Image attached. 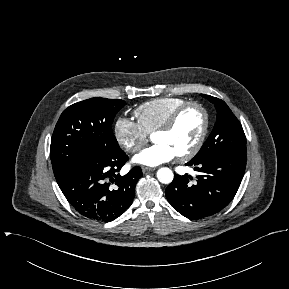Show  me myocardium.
Segmentation results:
<instances>
[{"mask_svg": "<svg viewBox=\"0 0 289 289\" xmlns=\"http://www.w3.org/2000/svg\"><path fill=\"white\" fill-rule=\"evenodd\" d=\"M197 108L203 116V125H202V129L200 131V134L197 138V140L195 141V143L193 144V146L188 149L186 152L177 155L178 159L181 161H186L191 159L192 157H194L199 150L201 149V147L204 144V141L206 139V136L208 134V130H209V124H210V118H209V114L207 109L199 102L197 101H187L184 104H182L181 106H179L169 117L168 119L160 126L158 127L154 134L156 133H166L171 131L177 121L179 120V118L181 117V115L189 108Z\"/></svg>", "mask_w": 289, "mask_h": 289, "instance_id": "f54148a6", "label": "myocardium"}]
</instances>
